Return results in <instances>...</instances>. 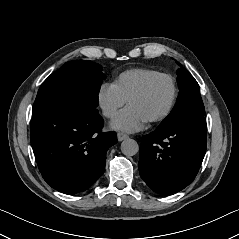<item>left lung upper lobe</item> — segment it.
<instances>
[{"label":"left lung upper lobe","instance_id":"1","mask_svg":"<svg viewBox=\"0 0 239 239\" xmlns=\"http://www.w3.org/2000/svg\"><path fill=\"white\" fill-rule=\"evenodd\" d=\"M177 64L181 66L178 62ZM177 75L179 95L176 104L158 128H165L189 115H205L199 85L195 78L183 67L177 70Z\"/></svg>","mask_w":239,"mask_h":239}]
</instances>
